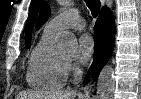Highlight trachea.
Returning <instances> with one entry per match:
<instances>
[{
  "label": "trachea",
  "instance_id": "1",
  "mask_svg": "<svg viewBox=\"0 0 141 99\" xmlns=\"http://www.w3.org/2000/svg\"><path fill=\"white\" fill-rule=\"evenodd\" d=\"M87 6L89 7L93 17H96L100 10V1L99 0H85Z\"/></svg>",
  "mask_w": 141,
  "mask_h": 99
}]
</instances>
